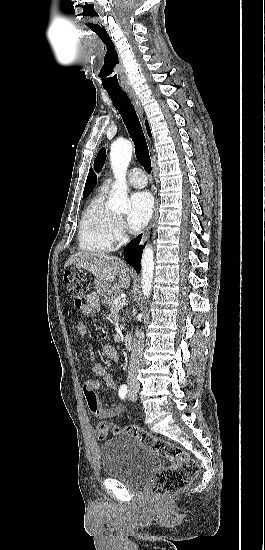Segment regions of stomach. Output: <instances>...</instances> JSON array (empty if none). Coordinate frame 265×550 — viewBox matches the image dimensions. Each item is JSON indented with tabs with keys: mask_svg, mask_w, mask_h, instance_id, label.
I'll use <instances>...</instances> for the list:
<instances>
[{
	"mask_svg": "<svg viewBox=\"0 0 265 550\" xmlns=\"http://www.w3.org/2000/svg\"><path fill=\"white\" fill-rule=\"evenodd\" d=\"M100 292H102V293H103V292H107V290H106V289H103V288H101V289H100Z\"/></svg>",
	"mask_w": 265,
	"mask_h": 550,
	"instance_id": "1",
	"label": "stomach"
}]
</instances>
